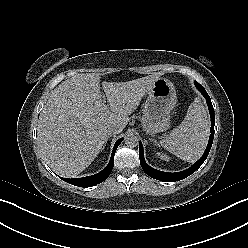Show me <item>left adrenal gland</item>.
<instances>
[{
  "mask_svg": "<svg viewBox=\"0 0 248 248\" xmlns=\"http://www.w3.org/2000/svg\"><path fill=\"white\" fill-rule=\"evenodd\" d=\"M150 140H152V141L156 142L154 139H150Z\"/></svg>",
  "mask_w": 248,
  "mask_h": 248,
  "instance_id": "left-adrenal-gland-1",
  "label": "left adrenal gland"
}]
</instances>
